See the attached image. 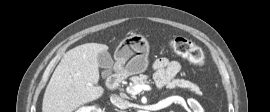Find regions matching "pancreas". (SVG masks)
Here are the masks:
<instances>
[{
    "label": "pancreas",
    "instance_id": "pancreas-1",
    "mask_svg": "<svg viewBox=\"0 0 270 112\" xmlns=\"http://www.w3.org/2000/svg\"><path fill=\"white\" fill-rule=\"evenodd\" d=\"M132 81L137 85H148L154 83L147 75L135 76L132 78ZM167 85L170 88H182L187 89L188 91H191L195 94H201L198 86L188 80L173 78L168 81Z\"/></svg>",
    "mask_w": 270,
    "mask_h": 112
}]
</instances>
